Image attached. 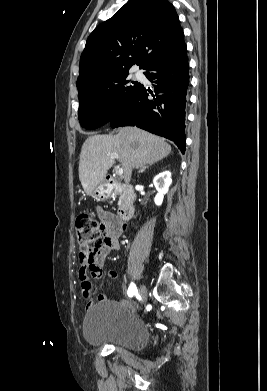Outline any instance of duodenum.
Listing matches in <instances>:
<instances>
[{
	"instance_id": "410a0bca",
	"label": "duodenum",
	"mask_w": 267,
	"mask_h": 391,
	"mask_svg": "<svg viewBox=\"0 0 267 391\" xmlns=\"http://www.w3.org/2000/svg\"><path fill=\"white\" fill-rule=\"evenodd\" d=\"M107 182L112 191L120 193L123 197V201L118 212L119 219L121 221L131 219L135 212L134 203L136 200V195L133 189L127 185L118 183L112 177H108Z\"/></svg>"
}]
</instances>
